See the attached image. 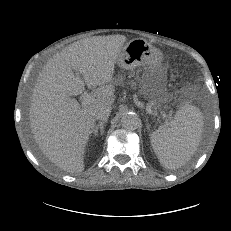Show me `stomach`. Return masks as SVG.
<instances>
[{
  "label": "stomach",
  "instance_id": "0dacf381",
  "mask_svg": "<svg viewBox=\"0 0 231 231\" xmlns=\"http://www.w3.org/2000/svg\"><path fill=\"white\" fill-rule=\"evenodd\" d=\"M163 56L159 49L153 47L144 38H135L125 43L117 64L120 68L134 70L145 67L146 71L140 81L142 92L155 104L163 101L166 90Z\"/></svg>",
  "mask_w": 231,
  "mask_h": 231
}]
</instances>
